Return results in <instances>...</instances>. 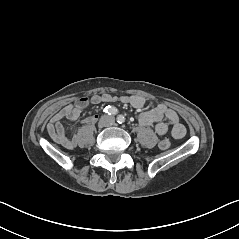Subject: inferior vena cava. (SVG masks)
Instances as JSON below:
<instances>
[{
  "mask_svg": "<svg viewBox=\"0 0 239 239\" xmlns=\"http://www.w3.org/2000/svg\"><path fill=\"white\" fill-rule=\"evenodd\" d=\"M114 124V117L112 116H103L101 118V125L103 127H110Z\"/></svg>",
  "mask_w": 239,
  "mask_h": 239,
  "instance_id": "1",
  "label": "inferior vena cava"
}]
</instances>
